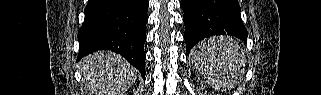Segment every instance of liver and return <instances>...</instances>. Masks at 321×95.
I'll use <instances>...</instances> for the list:
<instances>
[{"mask_svg":"<svg viewBox=\"0 0 321 95\" xmlns=\"http://www.w3.org/2000/svg\"><path fill=\"white\" fill-rule=\"evenodd\" d=\"M81 64L84 80L92 95H123L138 76L137 70L114 52L93 53Z\"/></svg>","mask_w":321,"mask_h":95,"instance_id":"liver-1","label":"liver"}]
</instances>
